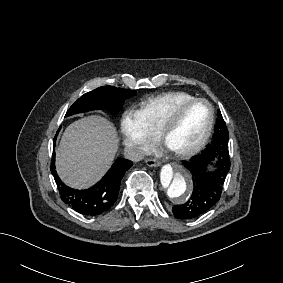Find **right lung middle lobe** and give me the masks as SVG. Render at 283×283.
I'll list each match as a JSON object with an SVG mask.
<instances>
[{
	"instance_id": "right-lung-middle-lobe-1",
	"label": "right lung middle lobe",
	"mask_w": 283,
	"mask_h": 283,
	"mask_svg": "<svg viewBox=\"0 0 283 283\" xmlns=\"http://www.w3.org/2000/svg\"><path fill=\"white\" fill-rule=\"evenodd\" d=\"M134 90H125L113 86H103L81 96L67 111L65 117L94 109L107 108L118 112L125 99L135 95Z\"/></svg>"
}]
</instances>
